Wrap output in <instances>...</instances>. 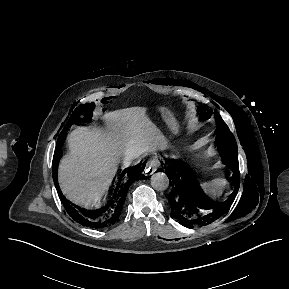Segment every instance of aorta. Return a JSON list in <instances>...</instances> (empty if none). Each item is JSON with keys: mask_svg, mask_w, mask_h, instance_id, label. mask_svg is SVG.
<instances>
[{"mask_svg": "<svg viewBox=\"0 0 289 289\" xmlns=\"http://www.w3.org/2000/svg\"><path fill=\"white\" fill-rule=\"evenodd\" d=\"M151 186L157 191H164L169 186V179L165 173L157 172L151 177Z\"/></svg>", "mask_w": 289, "mask_h": 289, "instance_id": "1", "label": "aorta"}]
</instances>
